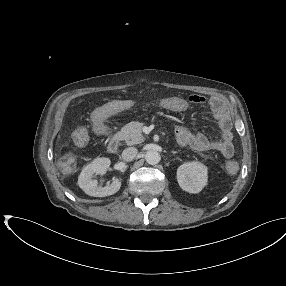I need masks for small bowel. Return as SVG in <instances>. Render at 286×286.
Returning <instances> with one entry per match:
<instances>
[{
  "instance_id": "obj_1",
  "label": "small bowel",
  "mask_w": 286,
  "mask_h": 286,
  "mask_svg": "<svg viewBox=\"0 0 286 286\" xmlns=\"http://www.w3.org/2000/svg\"><path fill=\"white\" fill-rule=\"evenodd\" d=\"M205 104L206 99L200 96H193L188 101L171 97L160 101L159 105L173 112H185L190 108V104ZM209 106L218 120L221 137L219 140H211L204 133L192 132L184 126L176 129V139L181 145H190L199 151H217L225 158H231L234 155V144L232 134V122L228 108L225 102L214 97L209 101Z\"/></svg>"
}]
</instances>
